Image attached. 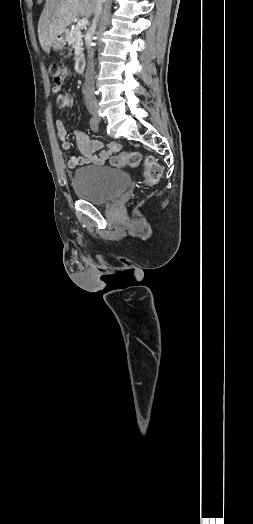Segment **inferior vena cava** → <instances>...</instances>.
Returning <instances> with one entry per match:
<instances>
[{
    "instance_id": "1",
    "label": "inferior vena cava",
    "mask_w": 253,
    "mask_h": 524,
    "mask_svg": "<svg viewBox=\"0 0 253 524\" xmlns=\"http://www.w3.org/2000/svg\"><path fill=\"white\" fill-rule=\"evenodd\" d=\"M102 4L103 0H97L96 8L94 12V19L93 23L90 28V38L87 42V49H88V65L87 70L85 74V103L87 107H92L97 105V101L95 98V87H94V52L91 48V37L95 32L96 25L99 19V16L102 12Z\"/></svg>"
}]
</instances>
